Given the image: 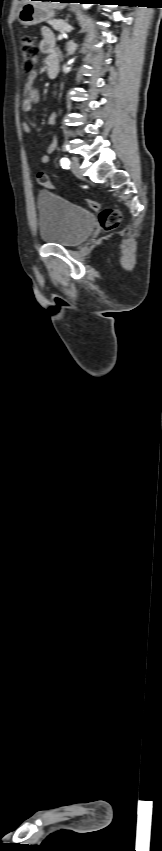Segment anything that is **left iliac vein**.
Listing matches in <instances>:
<instances>
[{"mask_svg": "<svg viewBox=\"0 0 162 851\" xmlns=\"http://www.w3.org/2000/svg\"><path fill=\"white\" fill-rule=\"evenodd\" d=\"M71 170H72V172L75 176L82 177V171H81L80 164H79L78 160H76V159L72 160Z\"/></svg>", "mask_w": 162, "mask_h": 851, "instance_id": "obj_1", "label": "left iliac vein"}]
</instances>
